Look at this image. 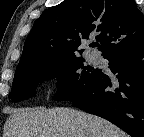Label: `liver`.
<instances>
[{"label":"liver","instance_id":"liver-1","mask_svg":"<svg viewBox=\"0 0 144 137\" xmlns=\"http://www.w3.org/2000/svg\"><path fill=\"white\" fill-rule=\"evenodd\" d=\"M3 137H127L109 121L85 112L58 107L13 110Z\"/></svg>","mask_w":144,"mask_h":137}]
</instances>
